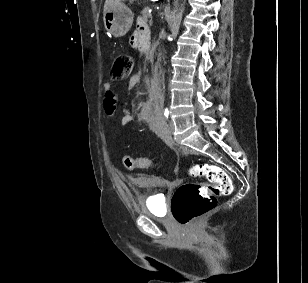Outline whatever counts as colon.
<instances>
[{"mask_svg": "<svg viewBox=\"0 0 308 283\" xmlns=\"http://www.w3.org/2000/svg\"><path fill=\"white\" fill-rule=\"evenodd\" d=\"M133 60L129 55H118L111 68V78L119 81L127 78L132 71ZM124 166L129 169L147 167L150 161L146 158L123 157ZM195 176H203L206 183H186L173 194L171 209L174 219L182 226H190L200 220L216 206V197L227 195L232 190V183L227 172L218 165L200 164L192 170Z\"/></svg>", "mask_w": 308, "mask_h": 283, "instance_id": "colon-1", "label": "colon"}]
</instances>
